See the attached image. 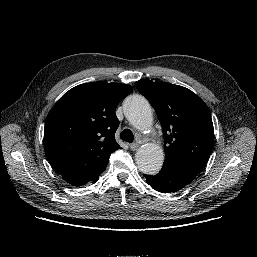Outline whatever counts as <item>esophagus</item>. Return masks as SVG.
<instances>
[{
    "label": "esophagus",
    "instance_id": "34e87169",
    "mask_svg": "<svg viewBox=\"0 0 257 257\" xmlns=\"http://www.w3.org/2000/svg\"><path fill=\"white\" fill-rule=\"evenodd\" d=\"M140 147L139 143H132L130 144V149L132 151H136Z\"/></svg>",
    "mask_w": 257,
    "mask_h": 257
}]
</instances>
